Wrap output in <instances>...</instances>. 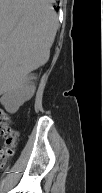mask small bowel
<instances>
[{
  "label": "small bowel",
  "instance_id": "obj_1",
  "mask_svg": "<svg viewBox=\"0 0 103 193\" xmlns=\"http://www.w3.org/2000/svg\"><path fill=\"white\" fill-rule=\"evenodd\" d=\"M9 154H10V152H9L8 149L2 150V156H3V157H4V156H7V155H9Z\"/></svg>",
  "mask_w": 103,
  "mask_h": 193
}]
</instances>
